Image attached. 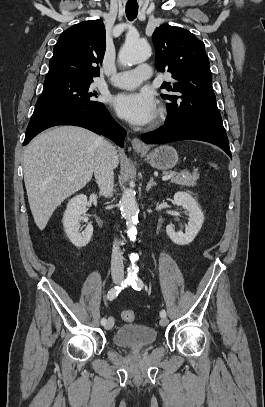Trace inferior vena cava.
Wrapping results in <instances>:
<instances>
[{
    "instance_id": "1",
    "label": "inferior vena cava",
    "mask_w": 265,
    "mask_h": 407,
    "mask_svg": "<svg viewBox=\"0 0 265 407\" xmlns=\"http://www.w3.org/2000/svg\"><path fill=\"white\" fill-rule=\"evenodd\" d=\"M115 155L116 149L111 143L100 138V146L95 159L94 175L100 189V194L105 197H111L113 193ZM111 274L112 277L124 278L122 252L116 242L112 249Z\"/></svg>"
}]
</instances>
